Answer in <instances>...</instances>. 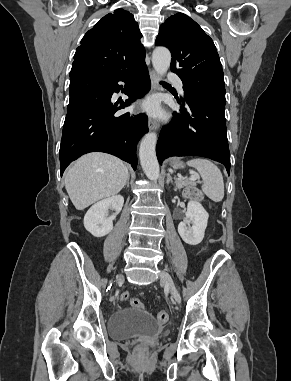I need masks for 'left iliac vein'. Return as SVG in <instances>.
<instances>
[{
  "mask_svg": "<svg viewBox=\"0 0 291 381\" xmlns=\"http://www.w3.org/2000/svg\"><path fill=\"white\" fill-rule=\"evenodd\" d=\"M160 278L164 282L166 287L170 290V293H171L172 297L174 298V300L177 303H180L181 302V296H180V293L178 292V290L174 284V281H173L171 275L168 272H166L165 270H161Z\"/></svg>",
  "mask_w": 291,
  "mask_h": 381,
  "instance_id": "obj_1",
  "label": "left iliac vein"
}]
</instances>
